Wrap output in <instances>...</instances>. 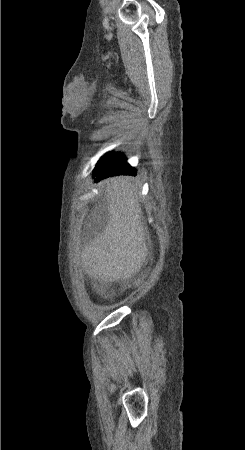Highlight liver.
<instances>
[{
    "instance_id": "obj_1",
    "label": "liver",
    "mask_w": 245,
    "mask_h": 450,
    "mask_svg": "<svg viewBox=\"0 0 245 450\" xmlns=\"http://www.w3.org/2000/svg\"><path fill=\"white\" fill-rule=\"evenodd\" d=\"M106 183L107 225L84 247L81 264L89 277L113 282L138 273L148 250L137 185L128 177Z\"/></svg>"
}]
</instances>
